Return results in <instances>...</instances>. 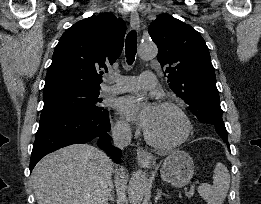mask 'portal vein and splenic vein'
<instances>
[{"label":"portal vein and splenic vein","mask_w":261,"mask_h":204,"mask_svg":"<svg viewBox=\"0 0 261 204\" xmlns=\"http://www.w3.org/2000/svg\"><path fill=\"white\" fill-rule=\"evenodd\" d=\"M194 192H195V185H192V186L188 189V191H187V193H186V196H187L188 198H191V197L193 196Z\"/></svg>","instance_id":"obj_1"}]
</instances>
